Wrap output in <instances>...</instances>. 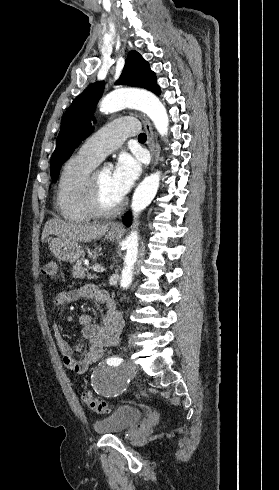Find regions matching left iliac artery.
Listing matches in <instances>:
<instances>
[{
  "label": "left iliac artery",
  "mask_w": 279,
  "mask_h": 490,
  "mask_svg": "<svg viewBox=\"0 0 279 490\" xmlns=\"http://www.w3.org/2000/svg\"><path fill=\"white\" fill-rule=\"evenodd\" d=\"M122 362H123V359L119 358V357H112V358L108 359V361H107V363L110 365H119Z\"/></svg>",
  "instance_id": "1"
}]
</instances>
